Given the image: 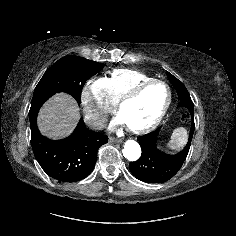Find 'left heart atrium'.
Instances as JSON below:
<instances>
[{
    "label": "left heart atrium",
    "mask_w": 236,
    "mask_h": 236,
    "mask_svg": "<svg viewBox=\"0 0 236 236\" xmlns=\"http://www.w3.org/2000/svg\"><path fill=\"white\" fill-rule=\"evenodd\" d=\"M115 124H126V122H125V120H124V118L122 117L121 114L113 122V125H115Z\"/></svg>",
    "instance_id": "obj_1"
}]
</instances>
